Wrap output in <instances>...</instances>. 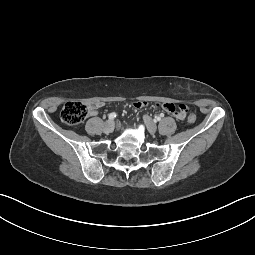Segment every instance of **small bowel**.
Listing matches in <instances>:
<instances>
[{
  "label": "small bowel",
  "instance_id": "obj_1",
  "mask_svg": "<svg viewBox=\"0 0 255 255\" xmlns=\"http://www.w3.org/2000/svg\"><path fill=\"white\" fill-rule=\"evenodd\" d=\"M145 102H137L135 103L136 107H141L145 105ZM102 104L101 103H93L91 105L90 115L95 116L97 114V108H99ZM157 106L161 107L167 113L174 115L177 119L182 120L190 113V108L186 104H181L179 102L176 103H164V104H157Z\"/></svg>",
  "mask_w": 255,
  "mask_h": 255
}]
</instances>
